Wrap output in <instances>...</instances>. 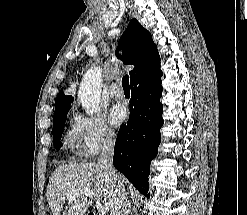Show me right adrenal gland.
Masks as SVG:
<instances>
[{"instance_id": "1", "label": "right adrenal gland", "mask_w": 247, "mask_h": 215, "mask_svg": "<svg viewBox=\"0 0 247 215\" xmlns=\"http://www.w3.org/2000/svg\"><path fill=\"white\" fill-rule=\"evenodd\" d=\"M128 205H129V206H128V213L130 214V213H131V202H129Z\"/></svg>"}]
</instances>
